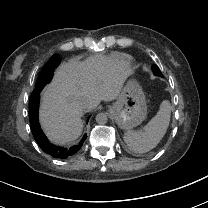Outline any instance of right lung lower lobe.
Listing matches in <instances>:
<instances>
[{
	"mask_svg": "<svg viewBox=\"0 0 208 208\" xmlns=\"http://www.w3.org/2000/svg\"><path fill=\"white\" fill-rule=\"evenodd\" d=\"M60 60L58 57H51L49 61L44 65L40 72V84L39 86L33 90L32 95L30 97L29 102V121L31 125V130L34 136V139L40 146V148L47 153L48 155L57 158V159H66L68 157L73 156L77 153L84 140L86 139V134L82 138L81 142L78 145L72 146L70 148H62L51 144L47 137L44 135L43 131L40 128L39 120H38V109H39V101H40V92L43 87L49 83L53 77L54 69L59 65ZM42 80V81H41Z\"/></svg>",
	"mask_w": 208,
	"mask_h": 208,
	"instance_id": "1",
	"label": "right lung lower lobe"
}]
</instances>
